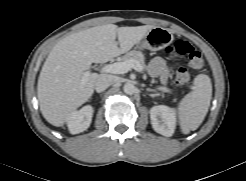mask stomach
Instances as JSON below:
<instances>
[{"mask_svg":"<svg viewBox=\"0 0 246 181\" xmlns=\"http://www.w3.org/2000/svg\"><path fill=\"white\" fill-rule=\"evenodd\" d=\"M172 40L173 35L168 29L155 27L137 43V48L159 50L169 45Z\"/></svg>","mask_w":246,"mask_h":181,"instance_id":"0dacf381","label":"stomach"}]
</instances>
